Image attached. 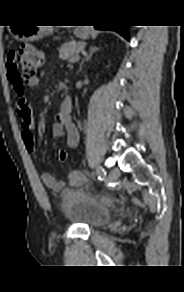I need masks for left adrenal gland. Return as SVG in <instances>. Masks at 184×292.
I'll list each match as a JSON object with an SVG mask.
<instances>
[{
  "label": "left adrenal gland",
  "instance_id": "1",
  "mask_svg": "<svg viewBox=\"0 0 184 292\" xmlns=\"http://www.w3.org/2000/svg\"><path fill=\"white\" fill-rule=\"evenodd\" d=\"M99 50V48L98 47H91L90 48V51H89V54H86L85 55V58L81 61V63H80V66H79V72L82 70V65H83V63L85 62V61H87V60H89L91 57H92V55L95 53V52H97Z\"/></svg>",
  "mask_w": 184,
  "mask_h": 292
}]
</instances>
